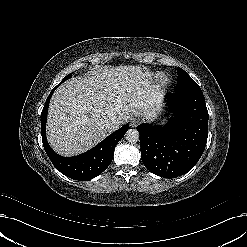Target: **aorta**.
<instances>
[{
  "instance_id": "aorta-1",
  "label": "aorta",
  "mask_w": 247,
  "mask_h": 247,
  "mask_svg": "<svg viewBox=\"0 0 247 247\" xmlns=\"http://www.w3.org/2000/svg\"><path fill=\"white\" fill-rule=\"evenodd\" d=\"M125 138L129 143H136L139 140V132L136 129H129Z\"/></svg>"
}]
</instances>
